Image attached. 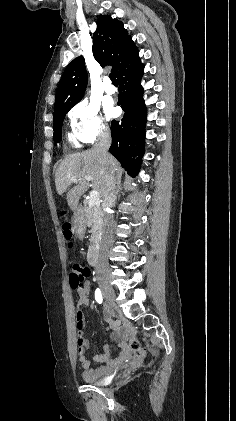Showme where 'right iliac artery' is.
Masks as SVG:
<instances>
[{"label":"right iliac artery","mask_w":236,"mask_h":421,"mask_svg":"<svg viewBox=\"0 0 236 421\" xmlns=\"http://www.w3.org/2000/svg\"><path fill=\"white\" fill-rule=\"evenodd\" d=\"M95 299L99 304H101L102 301H103L102 293H101V290L99 288H97L96 291H95Z\"/></svg>","instance_id":"1"}]
</instances>
